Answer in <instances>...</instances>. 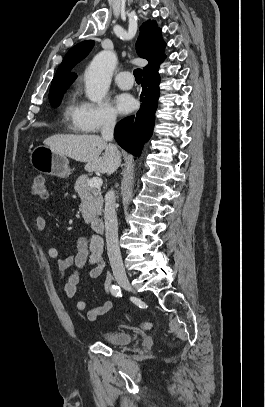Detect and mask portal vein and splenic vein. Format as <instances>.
Instances as JSON below:
<instances>
[{"label":"portal vein and splenic vein","instance_id":"1","mask_svg":"<svg viewBox=\"0 0 265 407\" xmlns=\"http://www.w3.org/2000/svg\"><path fill=\"white\" fill-rule=\"evenodd\" d=\"M102 183H103V181L99 177H94L88 181V185L90 187H100L102 185Z\"/></svg>","mask_w":265,"mask_h":407}]
</instances>
